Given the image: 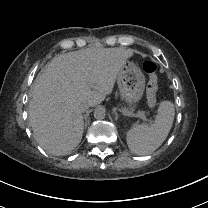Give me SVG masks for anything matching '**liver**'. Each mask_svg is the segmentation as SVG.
<instances>
[{
	"instance_id": "liver-1",
	"label": "liver",
	"mask_w": 208,
	"mask_h": 208,
	"mask_svg": "<svg viewBox=\"0 0 208 208\" xmlns=\"http://www.w3.org/2000/svg\"><path fill=\"white\" fill-rule=\"evenodd\" d=\"M132 55V49L91 47L54 57L32 86L29 122L36 141L55 155L77 147L84 130L78 105L100 104Z\"/></svg>"
}]
</instances>
